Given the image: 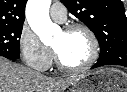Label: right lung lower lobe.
Here are the masks:
<instances>
[{
    "label": "right lung lower lobe",
    "mask_w": 127,
    "mask_h": 92,
    "mask_svg": "<svg viewBox=\"0 0 127 92\" xmlns=\"http://www.w3.org/2000/svg\"><path fill=\"white\" fill-rule=\"evenodd\" d=\"M0 56L6 57L10 60H16L19 58V55L10 54L3 51H0Z\"/></svg>",
    "instance_id": "right-lung-lower-lobe-1"
}]
</instances>
